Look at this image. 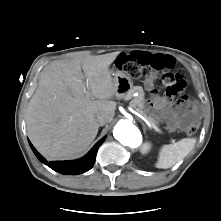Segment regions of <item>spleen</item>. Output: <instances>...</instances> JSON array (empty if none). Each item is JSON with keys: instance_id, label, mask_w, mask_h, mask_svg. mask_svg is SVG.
Listing matches in <instances>:
<instances>
[{"instance_id": "1", "label": "spleen", "mask_w": 221, "mask_h": 221, "mask_svg": "<svg viewBox=\"0 0 221 221\" xmlns=\"http://www.w3.org/2000/svg\"><path fill=\"white\" fill-rule=\"evenodd\" d=\"M196 144V138H184L176 143L163 145L159 151L157 168L167 169L185 158Z\"/></svg>"}]
</instances>
